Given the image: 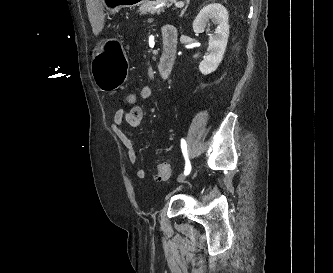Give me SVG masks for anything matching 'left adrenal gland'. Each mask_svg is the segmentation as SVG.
<instances>
[{
	"mask_svg": "<svg viewBox=\"0 0 333 273\" xmlns=\"http://www.w3.org/2000/svg\"><path fill=\"white\" fill-rule=\"evenodd\" d=\"M188 5H189V0L187 1V5L185 6V8L181 11L180 17H182L186 12Z\"/></svg>",
	"mask_w": 333,
	"mask_h": 273,
	"instance_id": "1",
	"label": "left adrenal gland"
}]
</instances>
